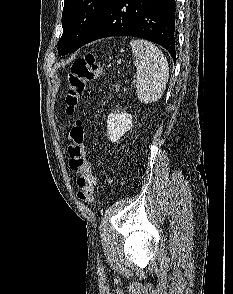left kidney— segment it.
Instances as JSON below:
<instances>
[{
	"label": "left kidney",
	"instance_id": "left-kidney-1",
	"mask_svg": "<svg viewBox=\"0 0 233 294\" xmlns=\"http://www.w3.org/2000/svg\"><path fill=\"white\" fill-rule=\"evenodd\" d=\"M133 126L132 116L128 113H110L107 119L108 138L117 142Z\"/></svg>",
	"mask_w": 233,
	"mask_h": 294
}]
</instances>
